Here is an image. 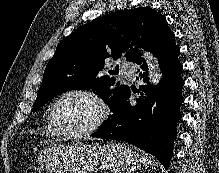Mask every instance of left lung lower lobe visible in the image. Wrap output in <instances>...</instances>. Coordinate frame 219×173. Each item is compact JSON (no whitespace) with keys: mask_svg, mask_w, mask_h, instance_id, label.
I'll list each match as a JSON object with an SVG mask.
<instances>
[{"mask_svg":"<svg viewBox=\"0 0 219 173\" xmlns=\"http://www.w3.org/2000/svg\"><path fill=\"white\" fill-rule=\"evenodd\" d=\"M171 33L151 52L158 57L163 79L159 85L148 82L147 64L140 57V76L148 85L140 87V98L135 104L128 99L130 89L121 97L113 115L104 121L101 128L91 136L131 143L154 155L168 169L173 153L176 124L181 118L180 106L183 102L181 78L182 65L178 60L179 48Z\"/></svg>","mask_w":219,"mask_h":173,"instance_id":"1","label":"left lung lower lobe"}]
</instances>
